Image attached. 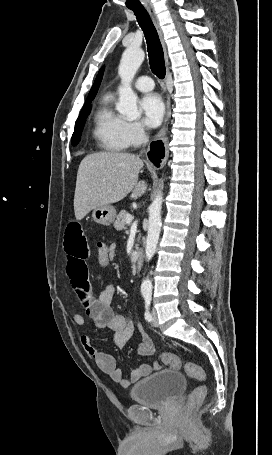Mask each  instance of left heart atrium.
<instances>
[{
	"label": "left heart atrium",
	"instance_id": "obj_1",
	"mask_svg": "<svg viewBox=\"0 0 272 455\" xmlns=\"http://www.w3.org/2000/svg\"><path fill=\"white\" fill-rule=\"evenodd\" d=\"M140 108L147 126L157 127L162 122L165 108L159 95L149 93L140 100Z\"/></svg>",
	"mask_w": 272,
	"mask_h": 455
}]
</instances>
